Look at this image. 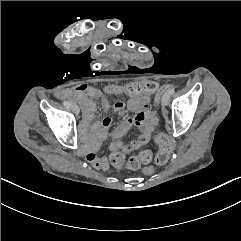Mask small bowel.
I'll return each instance as SVG.
<instances>
[{
	"instance_id": "small-bowel-1",
	"label": "small bowel",
	"mask_w": 241,
	"mask_h": 241,
	"mask_svg": "<svg viewBox=\"0 0 241 241\" xmlns=\"http://www.w3.org/2000/svg\"><path fill=\"white\" fill-rule=\"evenodd\" d=\"M105 95H126L121 90V85L110 84L103 90L95 88L90 85L80 84L72 89H68L59 93L61 98H74L80 101L84 107V125L83 137L86 140H91L93 146L91 151L85 153L86 160L95 168L108 169L109 160L107 157L99 158L96 154L100 151V142L107 137L108 130L111 126V119L104 117L100 123L88 127L92 121L95 111V104L89 98H99L102 107L107 110L110 104ZM148 95L136 98L132 95L129 97L127 107L135 112L134 116L125 118L112 131V142L109 149L111 154L120 151L123 154H128L132 151L144 147L150 140L152 134L155 132L158 125V118L155 110L149 105ZM126 104L123 101H116L113 104L115 113H120L124 110ZM131 127H135L139 131V136L132 141H123L121 138L129 131Z\"/></svg>"
}]
</instances>
